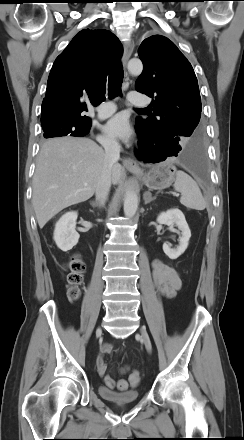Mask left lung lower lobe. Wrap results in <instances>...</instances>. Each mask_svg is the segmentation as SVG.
<instances>
[{
    "instance_id": "obj_1",
    "label": "left lung lower lobe",
    "mask_w": 244,
    "mask_h": 440,
    "mask_svg": "<svg viewBox=\"0 0 244 440\" xmlns=\"http://www.w3.org/2000/svg\"><path fill=\"white\" fill-rule=\"evenodd\" d=\"M139 137L138 159L146 163H158L169 157L177 159L192 172L204 176L206 160L203 150L202 136L192 140L187 145L169 142L159 131L136 124Z\"/></svg>"
}]
</instances>
